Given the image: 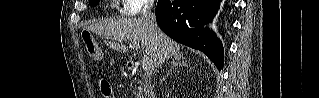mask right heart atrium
Listing matches in <instances>:
<instances>
[{"label": "right heart atrium", "mask_w": 319, "mask_h": 98, "mask_svg": "<svg viewBox=\"0 0 319 98\" xmlns=\"http://www.w3.org/2000/svg\"><path fill=\"white\" fill-rule=\"evenodd\" d=\"M123 2L125 3L123 13L127 15H136L149 5V1L125 0Z\"/></svg>", "instance_id": "d8ad5b80"}]
</instances>
